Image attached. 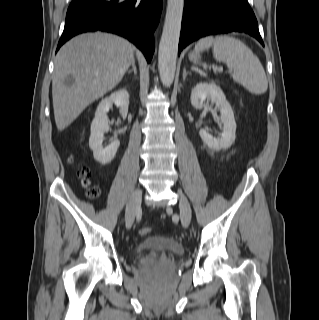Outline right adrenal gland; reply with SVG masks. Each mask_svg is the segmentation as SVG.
<instances>
[{
  "instance_id": "obj_1",
  "label": "right adrenal gland",
  "mask_w": 319,
  "mask_h": 320,
  "mask_svg": "<svg viewBox=\"0 0 319 320\" xmlns=\"http://www.w3.org/2000/svg\"><path fill=\"white\" fill-rule=\"evenodd\" d=\"M134 72V75H137V68L135 65V59L132 60V70H129L128 73Z\"/></svg>"
}]
</instances>
